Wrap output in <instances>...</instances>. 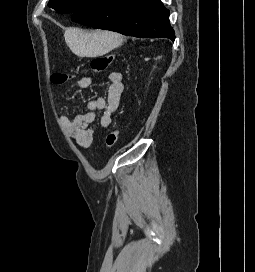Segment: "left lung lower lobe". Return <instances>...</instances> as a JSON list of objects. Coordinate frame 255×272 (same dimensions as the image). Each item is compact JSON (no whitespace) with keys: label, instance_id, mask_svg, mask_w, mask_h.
Masks as SVG:
<instances>
[{"label":"left lung lower lobe","instance_id":"left-lung-lower-lobe-1","mask_svg":"<svg viewBox=\"0 0 255 272\" xmlns=\"http://www.w3.org/2000/svg\"><path fill=\"white\" fill-rule=\"evenodd\" d=\"M72 21L127 36L175 39L161 0H90L73 13Z\"/></svg>","mask_w":255,"mask_h":272}]
</instances>
